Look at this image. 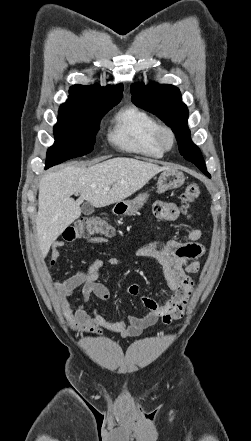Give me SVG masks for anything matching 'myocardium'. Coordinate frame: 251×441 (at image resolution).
I'll list each match as a JSON object with an SVG mask.
<instances>
[{"label":"myocardium","instance_id":"1","mask_svg":"<svg viewBox=\"0 0 251 441\" xmlns=\"http://www.w3.org/2000/svg\"><path fill=\"white\" fill-rule=\"evenodd\" d=\"M154 140L163 151H169L176 143V135L168 124L158 123L154 133Z\"/></svg>","mask_w":251,"mask_h":441}]
</instances>
